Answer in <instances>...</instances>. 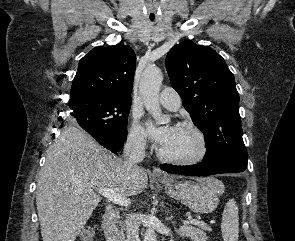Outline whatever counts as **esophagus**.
Returning <instances> with one entry per match:
<instances>
[{"label": "esophagus", "instance_id": "34e87169", "mask_svg": "<svg viewBox=\"0 0 295 241\" xmlns=\"http://www.w3.org/2000/svg\"><path fill=\"white\" fill-rule=\"evenodd\" d=\"M152 175L158 179H170V177L164 172H162L158 167L153 168Z\"/></svg>", "mask_w": 295, "mask_h": 241}]
</instances>
